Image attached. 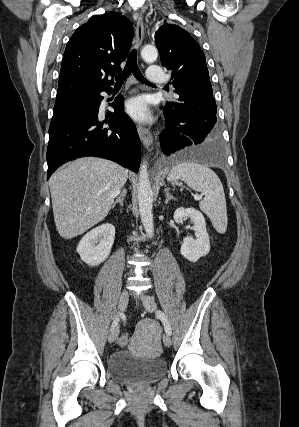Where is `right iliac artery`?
Listing matches in <instances>:
<instances>
[{"label": "right iliac artery", "mask_w": 299, "mask_h": 427, "mask_svg": "<svg viewBox=\"0 0 299 427\" xmlns=\"http://www.w3.org/2000/svg\"><path fill=\"white\" fill-rule=\"evenodd\" d=\"M119 322V317H116L112 323V329L118 324Z\"/></svg>", "instance_id": "right-iliac-artery-1"}]
</instances>
